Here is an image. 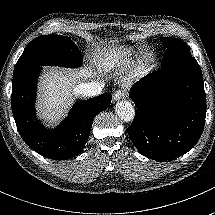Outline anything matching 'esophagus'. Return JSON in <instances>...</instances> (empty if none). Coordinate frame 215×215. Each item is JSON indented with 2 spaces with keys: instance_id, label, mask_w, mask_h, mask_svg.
I'll use <instances>...</instances> for the list:
<instances>
[{
  "instance_id": "1",
  "label": "esophagus",
  "mask_w": 215,
  "mask_h": 215,
  "mask_svg": "<svg viewBox=\"0 0 215 215\" xmlns=\"http://www.w3.org/2000/svg\"><path fill=\"white\" fill-rule=\"evenodd\" d=\"M122 93L121 92H119V91H117V92H115L114 94H113V101H118V100H120L121 98H122Z\"/></svg>"
}]
</instances>
